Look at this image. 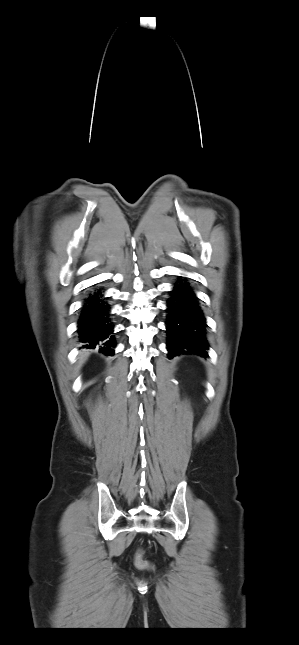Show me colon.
<instances>
[{
  "mask_svg": "<svg viewBox=\"0 0 299 645\" xmlns=\"http://www.w3.org/2000/svg\"><path fill=\"white\" fill-rule=\"evenodd\" d=\"M134 561H135V565L138 568L147 569L150 567V564L146 560H144L143 554L141 551H138L136 553Z\"/></svg>",
  "mask_w": 299,
  "mask_h": 645,
  "instance_id": "colon-1",
  "label": "colon"
}]
</instances>
